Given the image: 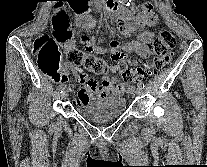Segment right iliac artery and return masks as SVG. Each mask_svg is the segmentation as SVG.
Returning a JSON list of instances; mask_svg holds the SVG:
<instances>
[{
	"mask_svg": "<svg viewBox=\"0 0 207 167\" xmlns=\"http://www.w3.org/2000/svg\"><path fill=\"white\" fill-rule=\"evenodd\" d=\"M65 88H66V85L60 84L59 85V91H60V93L63 92L65 90Z\"/></svg>",
	"mask_w": 207,
	"mask_h": 167,
	"instance_id": "right-iliac-artery-1",
	"label": "right iliac artery"
}]
</instances>
